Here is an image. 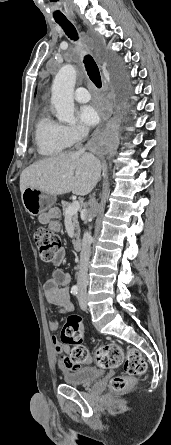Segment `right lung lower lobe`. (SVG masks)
I'll list each match as a JSON object with an SVG mask.
<instances>
[{"instance_id":"right-lung-lower-lobe-1","label":"right lung lower lobe","mask_w":171,"mask_h":445,"mask_svg":"<svg viewBox=\"0 0 171 445\" xmlns=\"http://www.w3.org/2000/svg\"><path fill=\"white\" fill-rule=\"evenodd\" d=\"M120 93V96H123V89L120 88L118 90ZM120 111V109H119ZM91 150L96 153L99 156L105 157V156H111L113 155L116 146L114 142L113 136L107 134V135H97L95 136L91 143H90Z\"/></svg>"}]
</instances>
